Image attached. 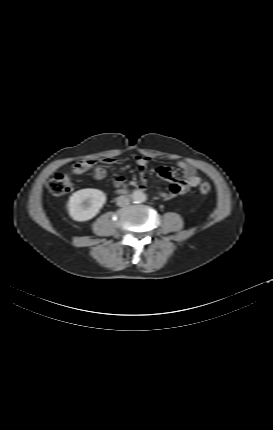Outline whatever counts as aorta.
I'll return each mask as SVG.
<instances>
[{"instance_id": "1", "label": "aorta", "mask_w": 273, "mask_h": 430, "mask_svg": "<svg viewBox=\"0 0 273 430\" xmlns=\"http://www.w3.org/2000/svg\"><path fill=\"white\" fill-rule=\"evenodd\" d=\"M131 199L135 203H142L146 200V195L142 190H135L131 194Z\"/></svg>"}]
</instances>
